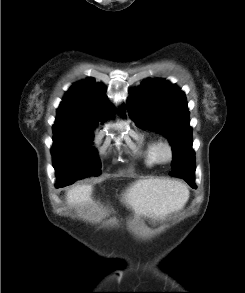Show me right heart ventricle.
I'll return each instance as SVG.
<instances>
[{
  "mask_svg": "<svg viewBox=\"0 0 245 293\" xmlns=\"http://www.w3.org/2000/svg\"><path fill=\"white\" fill-rule=\"evenodd\" d=\"M159 140L155 138L149 139L144 146V163L151 167L157 165L160 161L157 157V147Z\"/></svg>",
  "mask_w": 245,
  "mask_h": 293,
  "instance_id": "e07e8e85",
  "label": "right heart ventricle"
}]
</instances>
